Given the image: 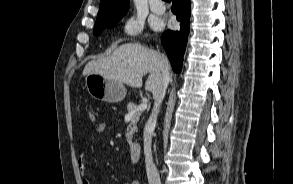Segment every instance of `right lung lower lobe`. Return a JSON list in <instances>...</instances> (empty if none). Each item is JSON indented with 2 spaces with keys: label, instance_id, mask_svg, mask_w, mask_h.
Masks as SVG:
<instances>
[{
  "label": "right lung lower lobe",
  "instance_id": "98d812e1",
  "mask_svg": "<svg viewBox=\"0 0 293 184\" xmlns=\"http://www.w3.org/2000/svg\"><path fill=\"white\" fill-rule=\"evenodd\" d=\"M172 12L180 22L177 31L167 30L162 35V45L175 73L181 72L183 55L189 33L190 0H172Z\"/></svg>",
  "mask_w": 293,
  "mask_h": 184
}]
</instances>
